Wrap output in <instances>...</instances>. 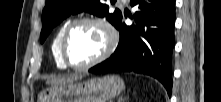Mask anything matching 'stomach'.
Instances as JSON below:
<instances>
[{
    "mask_svg": "<svg viewBox=\"0 0 221 102\" xmlns=\"http://www.w3.org/2000/svg\"><path fill=\"white\" fill-rule=\"evenodd\" d=\"M124 89L123 80L116 75L94 78L86 82H69L39 93L37 102H107Z\"/></svg>",
    "mask_w": 221,
    "mask_h": 102,
    "instance_id": "0dacf381",
    "label": "stomach"
}]
</instances>
